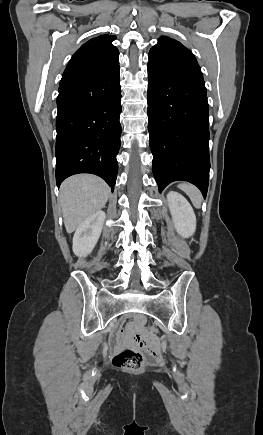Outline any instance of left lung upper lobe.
I'll return each instance as SVG.
<instances>
[{
    "label": "left lung upper lobe",
    "instance_id": "5c2ea615",
    "mask_svg": "<svg viewBox=\"0 0 263 435\" xmlns=\"http://www.w3.org/2000/svg\"><path fill=\"white\" fill-rule=\"evenodd\" d=\"M149 62L178 77L204 83L203 75L193 53L180 42L162 36L149 52Z\"/></svg>",
    "mask_w": 263,
    "mask_h": 435
}]
</instances>
